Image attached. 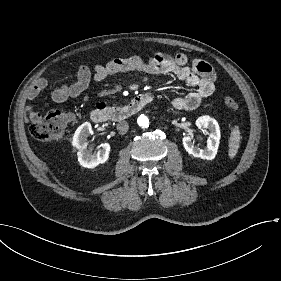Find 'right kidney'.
<instances>
[{
  "mask_svg": "<svg viewBox=\"0 0 281 281\" xmlns=\"http://www.w3.org/2000/svg\"><path fill=\"white\" fill-rule=\"evenodd\" d=\"M93 133L91 124L85 122L80 125L74 133L72 145L78 150L77 156L81 166L86 168H95L100 163H104L109 158L110 145L104 143L102 149L92 153L87 149V138Z\"/></svg>",
  "mask_w": 281,
  "mask_h": 281,
  "instance_id": "right-kidney-1",
  "label": "right kidney"
}]
</instances>
